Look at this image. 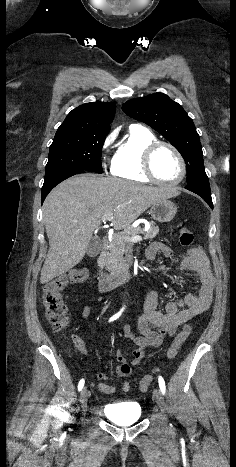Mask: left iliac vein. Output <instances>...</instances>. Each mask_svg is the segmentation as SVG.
Returning <instances> with one entry per match:
<instances>
[{"mask_svg":"<svg viewBox=\"0 0 236 467\" xmlns=\"http://www.w3.org/2000/svg\"><path fill=\"white\" fill-rule=\"evenodd\" d=\"M154 399L158 405V407L160 408L161 412L162 413H165V410H166V404H165V400H164V397L161 393L160 390H156L154 392Z\"/></svg>","mask_w":236,"mask_h":467,"instance_id":"left-iliac-vein-1","label":"left iliac vein"}]
</instances>
